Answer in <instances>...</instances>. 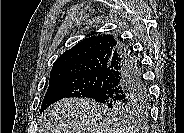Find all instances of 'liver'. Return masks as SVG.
I'll use <instances>...</instances> for the list:
<instances>
[{"instance_id":"liver-1","label":"liver","mask_w":184,"mask_h":133,"mask_svg":"<svg viewBox=\"0 0 184 133\" xmlns=\"http://www.w3.org/2000/svg\"><path fill=\"white\" fill-rule=\"evenodd\" d=\"M43 133H128L131 128L118 121L103 106L89 98L62 99L43 113Z\"/></svg>"}]
</instances>
